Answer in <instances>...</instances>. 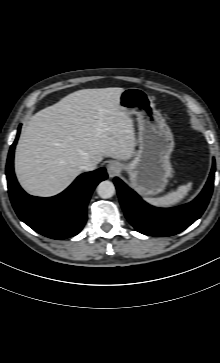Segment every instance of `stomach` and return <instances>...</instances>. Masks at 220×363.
Returning <instances> with one entry per match:
<instances>
[{"mask_svg": "<svg viewBox=\"0 0 220 363\" xmlns=\"http://www.w3.org/2000/svg\"><path fill=\"white\" fill-rule=\"evenodd\" d=\"M119 104L128 116L135 115L138 122L139 149L133 160L123 168L129 173L131 186L140 195L159 194L173 173L170 163L173 134L144 90L124 89Z\"/></svg>", "mask_w": 220, "mask_h": 363, "instance_id": "0dacf381", "label": "stomach"}]
</instances>
